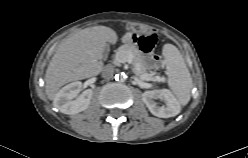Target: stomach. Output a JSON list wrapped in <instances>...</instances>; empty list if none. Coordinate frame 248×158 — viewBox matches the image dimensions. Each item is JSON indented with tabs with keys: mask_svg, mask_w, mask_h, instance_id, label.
I'll use <instances>...</instances> for the list:
<instances>
[{
	"mask_svg": "<svg viewBox=\"0 0 248 158\" xmlns=\"http://www.w3.org/2000/svg\"><path fill=\"white\" fill-rule=\"evenodd\" d=\"M137 40L135 39V33L132 32L127 40L128 44H131V43H135ZM145 58V62H146V66L147 67H150L152 65L151 61L149 60L148 57H144Z\"/></svg>",
	"mask_w": 248,
	"mask_h": 158,
	"instance_id": "0dacf381",
	"label": "stomach"
}]
</instances>
